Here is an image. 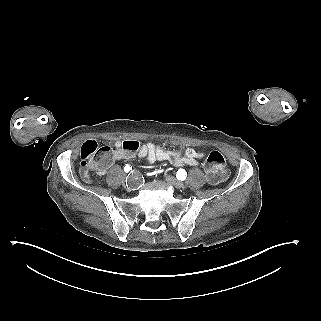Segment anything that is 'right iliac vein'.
Masks as SVG:
<instances>
[{"label":"right iliac vein","instance_id":"right-iliac-vein-1","mask_svg":"<svg viewBox=\"0 0 321 321\" xmlns=\"http://www.w3.org/2000/svg\"><path fill=\"white\" fill-rule=\"evenodd\" d=\"M122 183H123V185H127V182H125L124 180H122Z\"/></svg>","mask_w":321,"mask_h":321}]
</instances>
